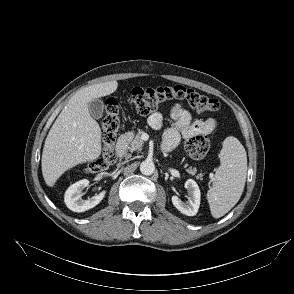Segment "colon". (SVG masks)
<instances>
[{
    "mask_svg": "<svg viewBox=\"0 0 294 294\" xmlns=\"http://www.w3.org/2000/svg\"><path fill=\"white\" fill-rule=\"evenodd\" d=\"M184 100L199 112L215 111L219 108V101L214 97L203 95L193 89L181 85L161 87H136L128 101L136 110L147 115L170 100ZM121 126L119 106L116 100L109 99L106 103L105 116L102 120V151L98 158L90 162L86 171L97 173L104 171L115 160L114 144L117 132ZM188 155L195 160L202 159L210 149V141L203 135L189 138L185 143Z\"/></svg>",
    "mask_w": 294,
    "mask_h": 294,
    "instance_id": "obj_1",
    "label": "colon"
}]
</instances>
